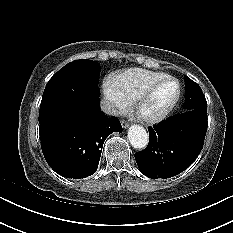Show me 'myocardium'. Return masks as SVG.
I'll return each instance as SVG.
<instances>
[{
	"mask_svg": "<svg viewBox=\"0 0 233 233\" xmlns=\"http://www.w3.org/2000/svg\"><path fill=\"white\" fill-rule=\"evenodd\" d=\"M165 81H172L176 85V94L173 98V100L170 102V104L159 114L154 116H144L140 113V107L142 103L149 97V95L152 93V91L155 89L157 85H159L162 82ZM181 97V86L179 81L172 77L165 75L159 79H156L152 83H150L146 88H144L134 99L133 102V109L137 117L146 124H157L161 121H163L165 118L168 117V115L174 110L176 105L178 104Z\"/></svg>",
	"mask_w": 233,
	"mask_h": 233,
	"instance_id": "myocardium-1",
	"label": "myocardium"
}]
</instances>
